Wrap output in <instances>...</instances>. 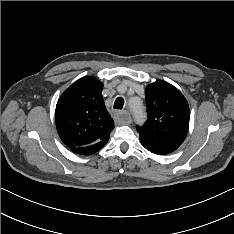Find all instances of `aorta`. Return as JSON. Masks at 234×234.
I'll return each mask as SVG.
<instances>
[{
    "instance_id": "762f6f07",
    "label": "aorta",
    "mask_w": 234,
    "mask_h": 234,
    "mask_svg": "<svg viewBox=\"0 0 234 234\" xmlns=\"http://www.w3.org/2000/svg\"><path fill=\"white\" fill-rule=\"evenodd\" d=\"M129 105L137 123L142 124L146 117L142 102L137 98H133L129 101Z\"/></svg>"
}]
</instances>
